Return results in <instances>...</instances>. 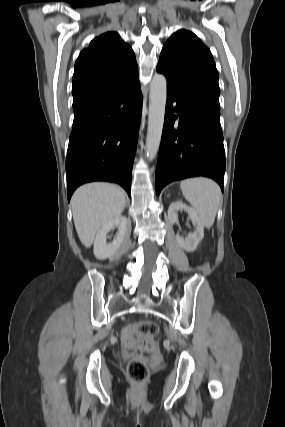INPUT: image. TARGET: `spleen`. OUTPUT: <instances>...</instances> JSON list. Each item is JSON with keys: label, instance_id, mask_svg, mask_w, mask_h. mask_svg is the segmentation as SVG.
I'll return each mask as SVG.
<instances>
[{"label": "spleen", "instance_id": "obj_1", "mask_svg": "<svg viewBox=\"0 0 285 427\" xmlns=\"http://www.w3.org/2000/svg\"><path fill=\"white\" fill-rule=\"evenodd\" d=\"M180 187L185 199L190 202L203 226H213L221 200V190L209 178L197 177L181 181Z\"/></svg>", "mask_w": 285, "mask_h": 427}]
</instances>
